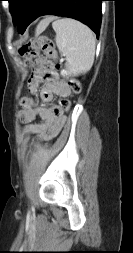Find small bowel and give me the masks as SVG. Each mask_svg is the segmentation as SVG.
<instances>
[{
	"label": "small bowel",
	"instance_id": "c3829d8e",
	"mask_svg": "<svg viewBox=\"0 0 133 253\" xmlns=\"http://www.w3.org/2000/svg\"><path fill=\"white\" fill-rule=\"evenodd\" d=\"M52 61H54V56L38 58L28 80L29 91L32 95L39 92L43 104L38 105L34 96H24L21 99L22 108L18 113L19 120L24 125V132L44 140L55 137L66 121L64 114L54 113L56 105L49 106L48 104L55 96L64 99L71 95L69 84L57 76ZM37 116L42 119L41 123L34 122Z\"/></svg>",
	"mask_w": 133,
	"mask_h": 253
}]
</instances>
